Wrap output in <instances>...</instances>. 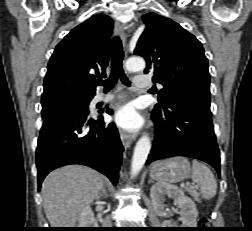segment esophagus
<instances>
[{"instance_id": "34e87169", "label": "esophagus", "mask_w": 252, "mask_h": 231, "mask_svg": "<svg viewBox=\"0 0 252 231\" xmlns=\"http://www.w3.org/2000/svg\"><path fill=\"white\" fill-rule=\"evenodd\" d=\"M115 28H116V31L121 36V39L123 41V45L125 47H127V38H126V34H125V27L121 23L117 22L115 24ZM119 135H120L121 142H122L123 146L125 147V149H127L131 145V143L133 142V140L136 137V135L128 134V133L124 132L123 130L119 131Z\"/></svg>"}]
</instances>
